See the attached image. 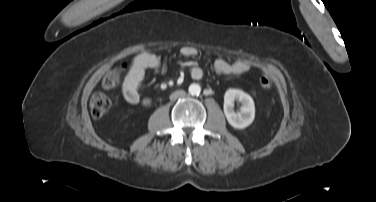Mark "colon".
Segmentation results:
<instances>
[{"mask_svg": "<svg viewBox=\"0 0 376 202\" xmlns=\"http://www.w3.org/2000/svg\"><path fill=\"white\" fill-rule=\"evenodd\" d=\"M118 84L119 75L115 70L107 72L103 77L102 86L105 89H112ZM258 84L262 89H269L271 87V79L268 75L261 74L258 77ZM89 106L92 116L95 118H100L108 112L111 106V100L106 94L97 92L90 98Z\"/></svg>", "mask_w": 376, "mask_h": 202, "instance_id": "5ec220e1", "label": "colon"}]
</instances>
